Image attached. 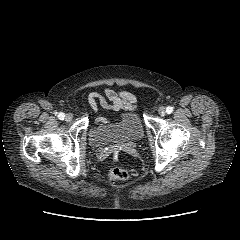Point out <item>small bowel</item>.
Returning <instances> with one entry per match:
<instances>
[{
  "label": "small bowel",
  "instance_id": "c3829d8e",
  "mask_svg": "<svg viewBox=\"0 0 240 240\" xmlns=\"http://www.w3.org/2000/svg\"><path fill=\"white\" fill-rule=\"evenodd\" d=\"M88 101L91 107L96 111L98 105L103 107H110L108 101H110L113 107L117 109H131L136 104V97L134 94L126 91H116L111 88H104L103 95L99 93H90L88 95ZM103 123H108L107 119H100Z\"/></svg>",
  "mask_w": 240,
  "mask_h": 240
}]
</instances>
